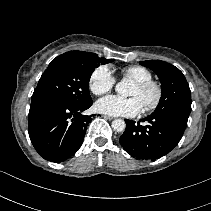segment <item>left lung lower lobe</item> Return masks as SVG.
<instances>
[{"mask_svg":"<svg viewBox=\"0 0 211 211\" xmlns=\"http://www.w3.org/2000/svg\"><path fill=\"white\" fill-rule=\"evenodd\" d=\"M145 126L125 120L126 129L120 136L121 146L138 159L155 160L173 150L187 126L188 118L174 112L152 113L142 120Z\"/></svg>","mask_w":211,"mask_h":211,"instance_id":"1","label":"left lung lower lobe"}]
</instances>
